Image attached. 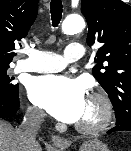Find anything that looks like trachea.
<instances>
[{
  "label": "trachea",
  "instance_id": "3493384b",
  "mask_svg": "<svg viewBox=\"0 0 131 151\" xmlns=\"http://www.w3.org/2000/svg\"><path fill=\"white\" fill-rule=\"evenodd\" d=\"M50 9H51V19H52L53 27H57L62 18V12H63L62 1L51 0Z\"/></svg>",
  "mask_w": 131,
  "mask_h": 151
}]
</instances>
